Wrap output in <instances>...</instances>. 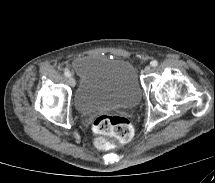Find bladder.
<instances>
[{
    "instance_id": "1",
    "label": "bladder",
    "mask_w": 215,
    "mask_h": 183,
    "mask_svg": "<svg viewBox=\"0 0 215 183\" xmlns=\"http://www.w3.org/2000/svg\"><path fill=\"white\" fill-rule=\"evenodd\" d=\"M72 67L80 79L74 95L80 113L133 108L139 103L140 85L129 61L92 54L77 57Z\"/></svg>"
}]
</instances>
